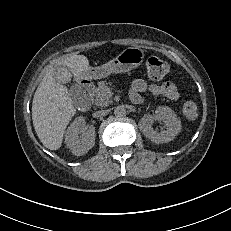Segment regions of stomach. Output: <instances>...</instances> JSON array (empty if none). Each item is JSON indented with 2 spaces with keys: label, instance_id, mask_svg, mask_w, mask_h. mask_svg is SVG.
Returning a JSON list of instances; mask_svg holds the SVG:
<instances>
[{
  "label": "stomach",
  "instance_id": "stomach-1",
  "mask_svg": "<svg viewBox=\"0 0 231 231\" xmlns=\"http://www.w3.org/2000/svg\"><path fill=\"white\" fill-rule=\"evenodd\" d=\"M144 59V51L138 47L124 49L116 58L98 66L90 67L82 74L89 79H101L111 73H125L137 68Z\"/></svg>",
  "mask_w": 231,
  "mask_h": 231
}]
</instances>
